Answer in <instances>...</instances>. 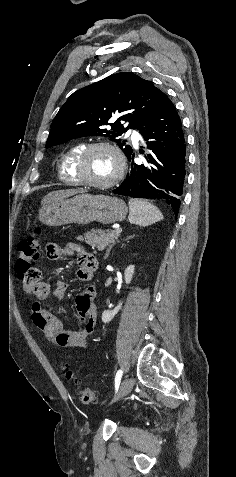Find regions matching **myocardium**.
I'll return each mask as SVG.
<instances>
[{
  "mask_svg": "<svg viewBox=\"0 0 236 477\" xmlns=\"http://www.w3.org/2000/svg\"><path fill=\"white\" fill-rule=\"evenodd\" d=\"M97 148H106L110 150L117 159V165H118L117 171L110 180L103 181V182H96V181L87 179L83 174V168H84V164H85V160L87 156L92 150ZM125 167H126L125 158L123 154L121 153V151L116 146H114L113 144L109 142L98 141V142H94V143H90L86 145L81 150V152L78 154L76 158L74 171L81 184L88 185L94 188L106 189V188H110L114 186L122 179L125 172Z\"/></svg>",
  "mask_w": 236,
  "mask_h": 477,
  "instance_id": "myocardium-1",
  "label": "myocardium"
}]
</instances>
